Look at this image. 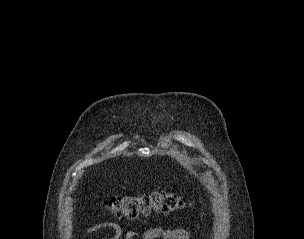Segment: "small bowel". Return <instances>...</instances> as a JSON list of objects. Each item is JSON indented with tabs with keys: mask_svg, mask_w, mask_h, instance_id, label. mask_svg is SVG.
<instances>
[{
	"mask_svg": "<svg viewBox=\"0 0 304 239\" xmlns=\"http://www.w3.org/2000/svg\"><path fill=\"white\" fill-rule=\"evenodd\" d=\"M102 230H110L112 234L102 239H136L139 234L135 231L123 233L122 228L113 222H107L95 225L86 231V234H93ZM190 233L183 228L168 229L162 227H153L144 232L142 239H190Z\"/></svg>",
	"mask_w": 304,
	"mask_h": 239,
	"instance_id": "c3829d8e",
	"label": "small bowel"
}]
</instances>
